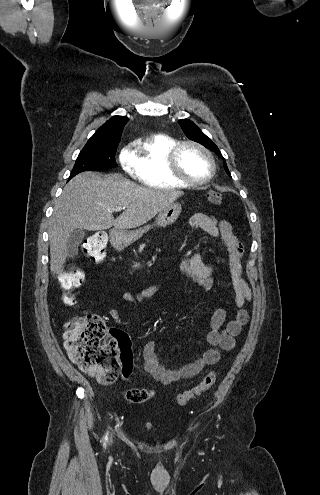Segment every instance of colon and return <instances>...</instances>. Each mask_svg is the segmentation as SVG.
<instances>
[{
    "label": "colon",
    "instance_id": "obj_1",
    "mask_svg": "<svg viewBox=\"0 0 320 495\" xmlns=\"http://www.w3.org/2000/svg\"><path fill=\"white\" fill-rule=\"evenodd\" d=\"M222 195L218 192L209 194L210 203L219 205ZM107 238L103 232H96L83 243L84 254L94 262H104ZM83 274L77 270L66 271L60 280L61 287L72 290L81 285ZM73 304V300L67 299ZM64 334V346L69 358L84 372L93 375L101 384H112L118 377L123 366L132 363L131 343L128 336L119 330L109 329L101 316L86 312L67 324ZM216 381V373L210 371L199 384L180 393L176 402L179 406L186 405L190 400L207 392ZM130 403H142L150 398L146 389H129L124 393Z\"/></svg>",
    "mask_w": 320,
    "mask_h": 495
}]
</instances>
